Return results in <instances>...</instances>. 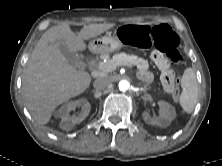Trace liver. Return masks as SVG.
Segmentation results:
<instances>
[{
    "label": "liver",
    "instance_id": "1",
    "mask_svg": "<svg viewBox=\"0 0 222 166\" xmlns=\"http://www.w3.org/2000/svg\"><path fill=\"white\" fill-rule=\"evenodd\" d=\"M114 26V23L84 25L76 35L63 22L44 32L29 57L22 81L27 109L39 125L47 124L59 105L83 93L91 83L88 72L66 62L59 42L64 40L74 52L82 51L86 48L85 40Z\"/></svg>",
    "mask_w": 222,
    "mask_h": 166
}]
</instances>
